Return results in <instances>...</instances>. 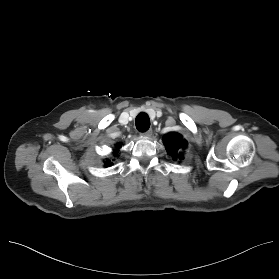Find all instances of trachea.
<instances>
[{
	"label": "trachea",
	"mask_w": 279,
	"mask_h": 279,
	"mask_svg": "<svg viewBox=\"0 0 279 279\" xmlns=\"http://www.w3.org/2000/svg\"><path fill=\"white\" fill-rule=\"evenodd\" d=\"M150 127V119L146 113H140L136 117V128L140 132H145Z\"/></svg>",
	"instance_id": "trachea-1"
}]
</instances>
